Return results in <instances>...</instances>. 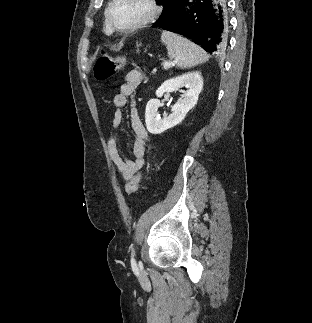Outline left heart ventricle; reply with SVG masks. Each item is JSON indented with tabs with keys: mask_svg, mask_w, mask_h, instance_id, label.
Returning <instances> with one entry per match:
<instances>
[{
	"mask_svg": "<svg viewBox=\"0 0 312 323\" xmlns=\"http://www.w3.org/2000/svg\"><path fill=\"white\" fill-rule=\"evenodd\" d=\"M148 4L144 0H120L111 7L112 18H146Z\"/></svg>",
	"mask_w": 312,
	"mask_h": 323,
	"instance_id": "b2bd125f",
	"label": "left heart ventricle"
}]
</instances>
